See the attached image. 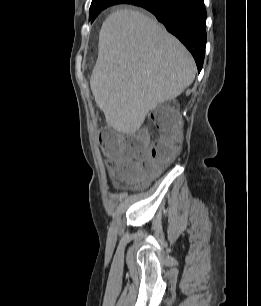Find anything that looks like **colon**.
I'll return each instance as SVG.
<instances>
[{"instance_id":"5ec220e1","label":"colon","mask_w":261,"mask_h":306,"mask_svg":"<svg viewBox=\"0 0 261 306\" xmlns=\"http://www.w3.org/2000/svg\"><path fill=\"white\" fill-rule=\"evenodd\" d=\"M152 120L158 135L151 145L149 134L145 130L123 140H118L116 134L104 137L103 146L113 158H126L141 165L139 168L129 164L119 165L115 174L120 180L144 183L174 159L181 136L179 115L173 109L162 106L154 111Z\"/></svg>"}]
</instances>
